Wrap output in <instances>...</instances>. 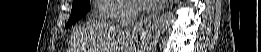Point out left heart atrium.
Here are the masks:
<instances>
[{"instance_id": "left-heart-atrium-1", "label": "left heart atrium", "mask_w": 261, "mask_h": 52, "mask_svg": "<svg viewBox=\"0 0 261 52\" xmlns=\"http://www.w3.org/2000/svg\"><path fill=\"white\" fill-rule=\"evenodd\" d=\"M138 8L149 9L153 7L155 1L154 0H133Z\"/></svg>"}]
</instances>
